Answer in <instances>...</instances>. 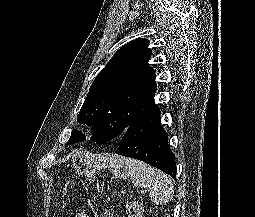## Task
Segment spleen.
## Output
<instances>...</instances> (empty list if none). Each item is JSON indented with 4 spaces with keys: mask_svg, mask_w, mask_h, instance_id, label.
I'll list each match as a JSON object with an SVG mask.
<instances>
[{
    "mask_svg": "<svg viewBox=\"0 0 255 217\" xmlns=\"http://www.w3.org/2000/svg\"><path fill=\"white\" fill-rule=\"evenodd\" d=\"M109 161L116 176L130 178L135 186L148 190L154 204L162 205L172 200V181L160 170L138 160L119 156H112Z\"/></svg>",
    "mask_w": 255,
    "mask_h": 217,
    "instance_id": "3e777b00",
    "label": "spleen"
}]
</instances>
